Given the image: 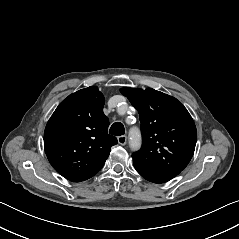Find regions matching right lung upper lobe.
<instances>
[{"label": "right lung upper lobe", "instance_id": "right-lung-upper-lobe-1", "mask_svg": "<svg viewBox=\"0 0 239 239\" xmlns=\"http://www.w3.org/2000/svg\"><path fill=\"white\" fill-rule=\"evenodd\" d=\"M105 99L96 86L64 99L44 131V149L53 168L66 179L81 182L103 167L117 138L107 133Z\"/></svg>", "mask_w": 239, "mask_h": 239}]
</instances>
